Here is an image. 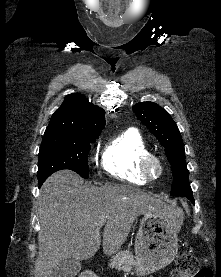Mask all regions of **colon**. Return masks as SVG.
<instances>
[{"label":"colon","mask_w":221,"mask_h":277,"mask_svg":"<svg viewBox=\"0 0 221 277\" xmlns=\"http://www.w3.org/2000/svg\"><path fill=\"white\" fill-rule=\"evenodd\" d=\"M172 277H213V272L210 268L200 267L195 256L179 254L175 260Z\"/></svg>","instance_id":"obj_1"}]
</instances>
